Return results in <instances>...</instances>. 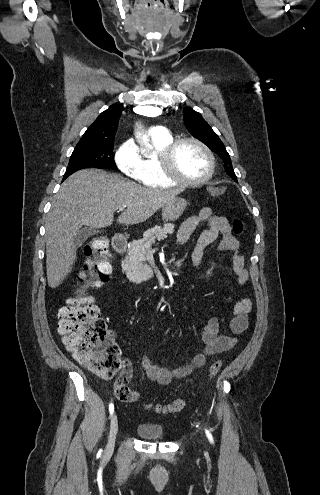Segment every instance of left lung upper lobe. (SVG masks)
<instances>
[{"instance_id":"1","label":"left lung upper lobe","mask_w":320,"mask_h":495,"mask_svg":"<svg viewBox=\"0 0 320 495\" xmlns=\"http://www.w3.org/2000/svg\"><path fill=\"white\" fill-rule=\"evenodd\" d=\"M183 117L188 131L212 151H214L223 161L225 172L235 181L237 177L234 173L230 156L218 135L212 130L210 125L202 118L201 114L186 107L183 110Z\"/></svg>"}]
</instances>
